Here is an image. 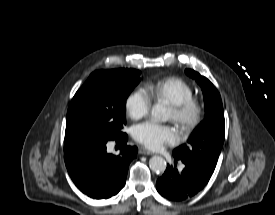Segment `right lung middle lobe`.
Wrapping results in <instances>:
<instances>
[{
  "label": "right lung middle lobe",
  "instance_id": "1",
  "mask_svg": "<svg viewBox=\"0 0 275 215\" xmlns=\"http://www.w3.org/2000/svg\"><path fill=\"white\" fill-rule=\"evenodd\" d=\"M139 76L135 69L93 72L70 103L64 142L109 141L123 135L126 99L139 83Z\"/></svg>",
  "mask_w": 275,
  "mask_h": 215
}]
</instances>
